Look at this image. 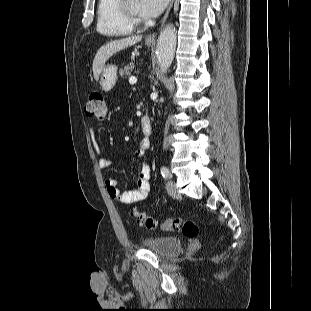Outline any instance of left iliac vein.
Segmentation results:
<instances>
[{
  "mask_svg": "<svg viewBox=\"0 0 311 311\" xmlns=\"http://www.w3.org/2000/svg\"><path fill=\"white\" fill-rule=\"evenodd\" d=\"M166 189L168 194L173 198H178L180 196L175 183L172 180H168L166 183Z\"/></svg>",
  "mask_w": 311,
  "mask_h": 311,
  "instance_id": "4c4485c4",
  "label": "left iliac vein"
}]
</instances>
